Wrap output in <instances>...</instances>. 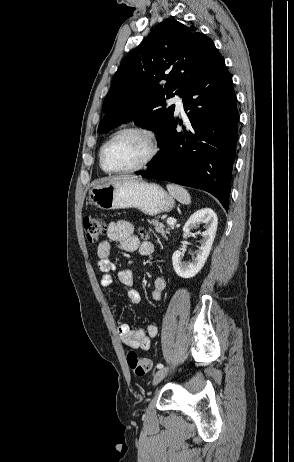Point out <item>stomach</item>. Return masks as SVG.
Here are the masks:
<instances>
[{
  "label": "stomach",
  "mask_w": 294,
  "mask_h": 462,
  "mask_svg": "<svg viewBox=\"0 0 294 462\" xmlns=\"http://www.w3.org/2000/svg\"><path fill=\"white\" fill-rule=\"evenodd\" d=\"M89 200L103 210L137 208L150 216L169 212L174 207L173 197L162 187L132 178L116 179L92 188Z\"/></svg>",
  "instance_id": "1"
}]
</instances>
